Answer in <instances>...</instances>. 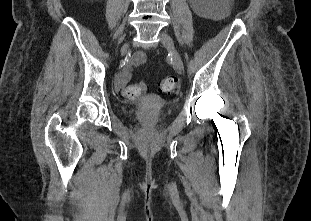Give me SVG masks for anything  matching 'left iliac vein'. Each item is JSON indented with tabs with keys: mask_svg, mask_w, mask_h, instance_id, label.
Here are the masks:
<instances>
[{
	"mask_svg": "<svg viewBox=\"0 0 311 221\" xmlns=\"http://www.w3.org/2000/svg\"><path fill=\"white\" fill-rule=\"evenodd\" d=\"M159 37L163 46L171 53L176 69L181 73L184 65L179 52L175 48L173 39L165 32H161Z\"/></svg>",
	"mask_w": 311,
	"mask_h": 221,
	"instance_id": "obj_1",
	"label": "left iliac vein"
}]
</instances>
